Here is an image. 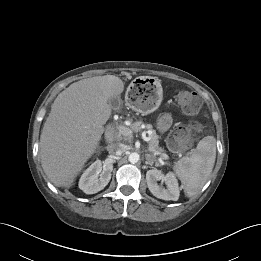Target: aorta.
<instances>
[{"label":"aorta","mask_w":261,"mask_h":261,"mask_svg":"<svg viewBox=\"0 0 261 261\" xmlns=\"http://www.w3.org/2000/svg\"><path fill=\"white\" fill-rule=\"evenodd\" d=\"M139 159H140V156L136 152L130 153V155L128 157L129 162L132 164L137 163L139 161Z\"/></svg>","instance_id":"aorta-1"}]
</instances>
